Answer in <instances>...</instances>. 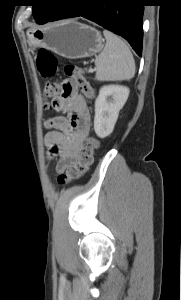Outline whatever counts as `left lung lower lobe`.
Instances as JSON below:
<instances>
[{"instance_id":"left-lung-lower-lobe-1","label":"left lung lower lobe","mask_w":181,"mask_h":300,"mask_svg":"<svg viewBox=\"0 0 181 300\" xmlns=\"http://www.w3.org/2000/svg\"><path fill=\"white\" fill-rule=\"evenodd\" d=\"M143 6L141 0H71L70 3L59 5L45 23L63 18L85 17L125 38L141 56Z\"/></svg>"}]
</instances>
